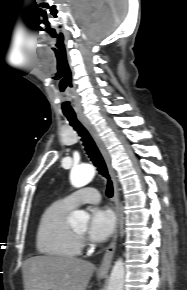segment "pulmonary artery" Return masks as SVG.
<instances>
[{"label": "pulmonary artery", "instance_id": "pulmonary-artery-1", "mask_svg": "<svg viewBox=\"0 0 187 290\" xmlns=\"http://www.w3.org/2000/svg\"><path fill=\"white\" fill-rule=\"evenodd\" d=\"M62 201L74 208L83 203H98L100 194L95 188L87 187L67 195Z\"/></svg>", "mask_w": 187, "mask_h": 290}]
</instances>
